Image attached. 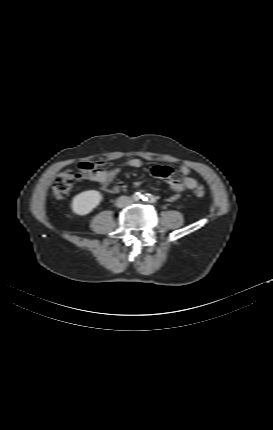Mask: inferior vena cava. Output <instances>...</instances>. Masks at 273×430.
Listing matches in <instances>:
<instances>
[{
    "mask_svg": "<svg viewBox=\"0 0 273 430\" xmlns=\"http://www.w3.org/2000/svg\"><path fill=\"white\" fill-rule=\"evenodd\" d=\"M132 202L133 200L130 197L121 196L118 198L117 205L121 207V206L130 205Z\"/></svg>",
    "mask_w": 273,
    "mask_h": 430,
    "instance_id": "obj_1",
    "label": "inferior vena cava"
}]
</instances>
